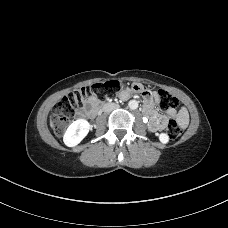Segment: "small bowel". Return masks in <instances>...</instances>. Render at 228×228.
I'll list each match as a JSON object with an SVG mask.
<instances>
[{"mask_svg": "<svg viewBox=\"0 0 228 228\" xmlns=\"http://www.w3.org/2000/svg\"><path fill=\"white\" fill-rule=\"evenodd\" d=\"M119 95L122 99L126 100L130 97L131 90L129 88H125L119 93ZM157 101H158V96L156 94H151L149 97L145 98L144 112L150 117L158 119L159 123L154 126L155 127L154 130H161L167 126V118L164 116L157 115L153 110L152 106ZM98 102H99V99L96 95L94 94L88 95L85 99L84 108L77 112V116L84 117L86 115H89L94 110ZM168 114L171 117H174L181 126L185 127L187 125L189 116L186 109L181 108L179 110H175V109L170 110Z\"/></svg>", "mask_w": 228, "mask_h": 228, "instance_id": "1", "label": "small bowel"}]
</instances>
